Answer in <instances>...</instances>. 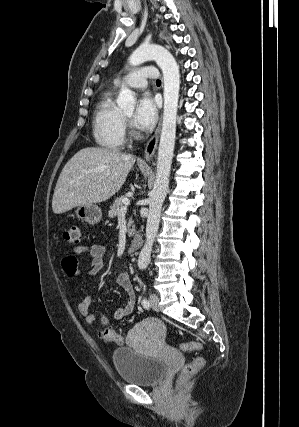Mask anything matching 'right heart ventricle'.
<instances>
[{"instance_id": "1", "label": "right heart ventricle", "mask_w": 299, "mask_h": 427, "mask_svg": "<svg viewBox=\"0 0 299 427\" xmlns=\"http://www.w3.org/2000/svg\"><path fill=\"white\" fill-rule=\"evenodd\" d=\"M114 94V88L104 91L94 110L93 136L106 150H119L125 142L124 120L114 105Z\"/></svg>"}]
</instances>
